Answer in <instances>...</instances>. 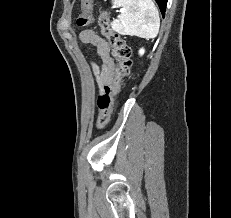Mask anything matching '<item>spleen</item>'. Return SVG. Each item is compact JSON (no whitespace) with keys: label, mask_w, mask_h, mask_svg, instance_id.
<instances>
[{"label":"spleen","mask_w":231,"mask_h":218,"mask_svg":"<svg viewBox=\"0 0 231 218\" xmlns=\"http://www.w3.org/2000/svg\"><path fill=\"white\" fill-rule=\"evenodd\" d=\"M112 2L114 8H121L118 18L111 23L114 31L145 39L157 36L160 18L152 0H112Z\"/></svg>","instance_id":"spleen-1"}]
</instances>
